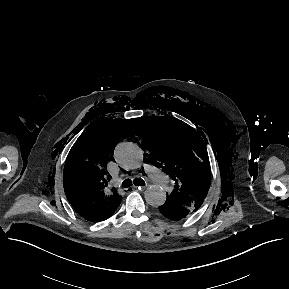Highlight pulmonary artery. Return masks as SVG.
I'll return each instance as SVG.
<instances>
[{
    "mask_svg": "<svg viewBox=\"0 0 289 289\" xmlns=\"http://www.w3.org/2000/svg\"><path fill=\"white\" fill-rule=\"evenodd\" d=\"M145 171L148 176L155 181L161 188H167L170 185L169 178L157 167L151 163H146L144 165Z\"/></svg>",
    "mask_w": 289,
    "mask_h": 289,
    "instance_id": "obj_1",
    "label": "pulmonary artery"
}]
</instances>
